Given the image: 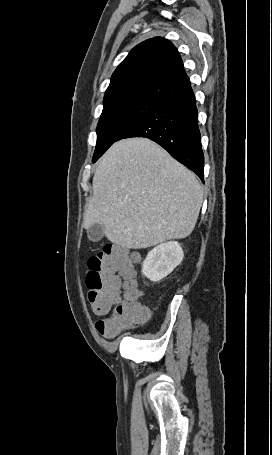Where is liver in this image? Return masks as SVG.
<instances>
[{"mask_svg": "<svg viewBox=\"0 0 272 455\" xmlns=\"http://www.w3.org/2000/svg\"><path fill=\"white\" fill-rule=\"evenodd\" d=\"M84 227H104L107 239L140 249L193 231L203 201L194 173L146 138L114 143L92 183Z\"/></svg>", "mask_w": 272, "mask_h": 455, "instance_id": "1", "label": "liver"}]
</instances>
